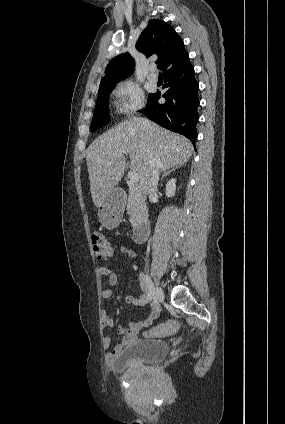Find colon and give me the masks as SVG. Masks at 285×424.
Here are the masks:
<instances>
[{
    "instance_id": "5ec220e1",
    "label": "colon",
    "mask_w": 285,
    "mask_h": 424,
    "mask_svg": "<svg viewBox=\"0 0 285 424\" xmlns=\"http://www.w3.org/2000/svg\"><path fill=\"white\" fill-rule=\"evenodd\" d=\"M92 247L94 255L101 260H107L113 256V247L109 237L95 233L92 236ZM178 330V325L174 321L161 323L146 333V337H163L174 334Z\"/></svg>"
}]
</instances>
